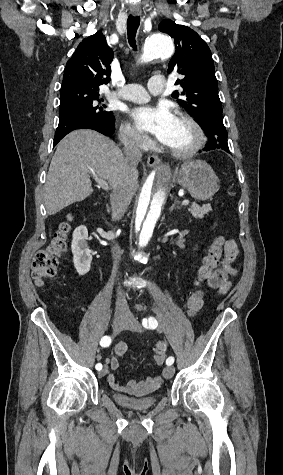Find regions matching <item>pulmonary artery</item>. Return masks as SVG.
Wrapping results in <instances>:
<instances>
[{"mask_svg": "<svg viewBox=\"0 0 283 475\" xmlns=\"http://www.w3.org/2000/svg\"><path fill=\"white\" fill-rule=\"evenodd\" d=\"M148 87L150 91L139 84L128 85L124 88V91L118 93V98L140 103L150 100L152 96H164L166 94L164 80H149Z\"/></svg>", "mask_w": 283, "mask_h": 475, "instance_id": "1", "label": "pulmonary artery"}]
</instances>
